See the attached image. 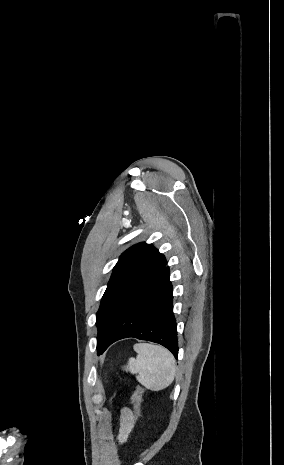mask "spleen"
Wrapping results in <instances>:
<instances>
[{
    "mask_svg": "<svg viewBox=\"0 0 284 465\" xmlns=\"http://www.w3.org/2000/svg\"><path fill=\"white\" fill-rule=\"evenodd\" d=\"M133 349L137 357L129 359L124 371L136 375L138 383L150 391H162L173 383L175 359L167 349L149 343H137Z\"/></svg>",
    "mask_w": 284,
    "mask_h": 465,
    "instance_id": "obj_1",
    "label": "spleen"
}]
</instances>
